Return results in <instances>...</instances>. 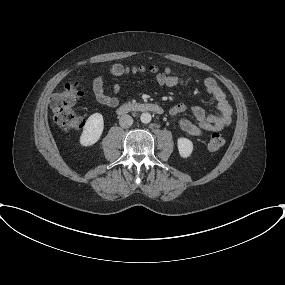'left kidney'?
I'll return each instance as SVG.
<instances>
[{"label":"left kidney","instance_id":"left-kidney-1","mask_svg":"<svg viewBox=\"0 0 285 285\" xmlns=\"http://www.w3.org/2000/svg\"><path fill=\"white\" fill-rule=\"evenodd\" d=\"M178 151L181 157L188 158L193 151V143L191 140L181 137L177 140Z\"/></svg>","mask_w":285,"mask_h":285}]
</instances>
